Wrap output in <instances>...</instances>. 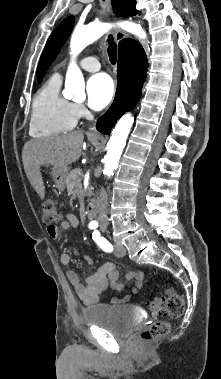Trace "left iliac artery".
Here are the masks:
<instances>
[{
	"label": "left iliac artery",
	"mask_w": 221,
	"mask_h": 379,
	"mask_svg": "<svg viewBox=\"0 0 221 379\" xmlns=\"http://www.w3.org/2000/svg\"><path fill=\"white\" fill-rule=\"evenodd\" d=\"M93 240L97 243V245L105 252H112L113 246L112 244L103 236L100 235L98 230H95L92 234Z\"/></svg>",
	"instance_id": "obj_1"
}]
</instances>
